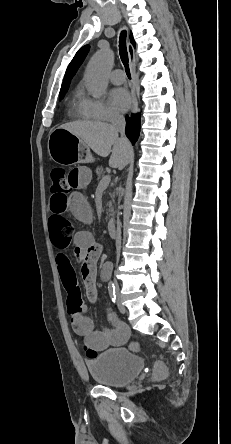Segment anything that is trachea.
I'll list each match as a JSON object with an SVG mask.
<instances>
[{
	"mask_svg": "<svg viewBox=\"0 0 231 444\" xmlns=\"http://www.w3.org/2000/svg\"><path fill=\"white\" fill-rule=\"evenodd\" d=\"M126 36H127L126 31H122L120 34V39H119V53H120L121 60L124 64L126 74H127L128 78L131 79L130 68H129V57H128V51H127V46H126Z\"/></svg>",
	"mask_w": 231,
	"mask_h": 444,
	"instance_id": "3493384b",
	"label": "trachea"
}]
</instances>
